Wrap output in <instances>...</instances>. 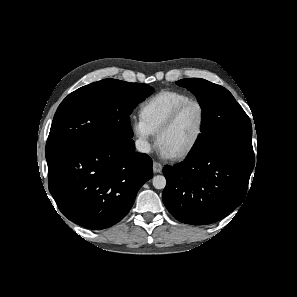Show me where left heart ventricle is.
<instances>
[{
	"label": "left heart ventricle",
	"mask_w": 297,
	"mask_h": 297,
	"mask_svg": "<svg viewBox=\"0 0 297 297\" xmlns=\"http://www.w3.org/2000/svg\"><path fill=\"white\" fill-rule=\"evenodd\" d=\"M199 125L200 110L197 105L190 104L182 111L173 127L161 137L159 145L171 155L176 154L190 145Z\"/></svg>",
	"instance_id": "left-heart-ventricle-1"
}]
</instances>
